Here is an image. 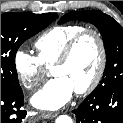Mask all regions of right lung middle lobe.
<instances>
[{
  "label": "right lung middle lobe",
  "mask_w": 123,
  "mask_h": 123,
  "mask_svg": "<svg viewBox=\"0 0 123 123\" xmlns=\"http://www.w3.org/2000/svg\"><path fill=\"white\" fill-rule=\"evenodd\" d=\"M58 15L55 13H4L1 14V91H17L19 85L15 55L19 46L34 36Z\"/></svg>",
  "instance_id": "dd1d6c3e"
}]
</instances>
